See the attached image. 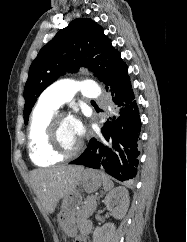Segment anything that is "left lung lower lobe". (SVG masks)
Here are the masks:
<instances>
[{
  "label": "left lung lower lobe",
  "instance_id": "1",
  "mask_svg": "<svg viewBox=\"0 0 187 242\" xmlns=\"http://www.w3.org/2000/svg\"><path fill=\"white\" fill-rule=\"evenodd\" d=\"M109 92L120 107L118 114L104 124L102 137L92 138L83 154L70 164L101 169L120 181H126L133 179L137 173L141 129L129 75L116 81Z\"/></svg>",
  "mask_w": 187,
  "mask_h": 242
}]
</instances>
